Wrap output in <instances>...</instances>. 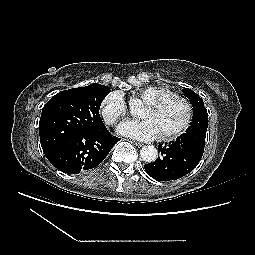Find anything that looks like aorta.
<instances>
[{
	"label": "aorta",
	"mask_w": 255,
	"mask_h": 255,
	"mask_svg": "<svg viewBox=\"0 0 255 255\" xmlns=\"http://www.w3.org/2000/svg\"><path fill=\"white\" fill-rule=\"evenodd\" d=\"M138 106V100H132L130 102V109L133 114L136 113ZM140 156L145 162L152 163L157 159L158 151L153 145L144 146L140 150Z\"/></svg>",
	"instance_id": "1"
}]
</instances>
